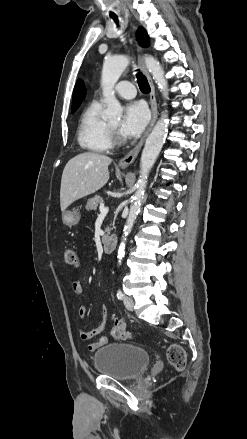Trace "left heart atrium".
Masks as SVG:
<instances>
[{"mask_svg": "<svg viewBox=\"0 0 247 439\" xmlns=\"http://www.w3.org/2000/svg\"><path fill=\"white\" fill-rule=\"evenodd\" d=\"M149 121V111L142 102L129 103L119 126V133L124 138H135L145 129Z\"/></svg>", "mask_w": 247, "mask_h": 439, "instance_id": "1", "label": "left heart atrium"}]
</instances>
